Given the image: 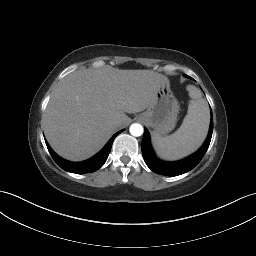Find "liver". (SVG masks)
I'll use <instances>...</instances> for the list:
<instances>
[{"instance_id":"liver-1","label":"liver","mask_w":256,"mask_h":256,"mask_svg":"<svg viewBox=\"0 0 256 256\" xmlns=\"http://www.w3.org/2000/svg\"><path fill=\"white\" fill-rule=\"evenodd\" d=\"M165 80L152 70L113 67L68 74L53 90L43 116L48 143L70 161L92 157L118 128L128 124L125 113L149 107Z\"/></svg>"}]
</instances>
